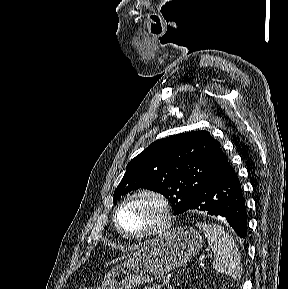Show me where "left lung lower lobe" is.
Listing matches in <instances>:
<instances>
[{
	"label": "left lung lower lobe",
	"instance_id": "1",
	"mask_svg": "<svg viewBox=\"0 0 288 289\" xmlns=\"http://www.w3.org/2000/svg\"><path fill=\"white\" fill-rule=\"evenodd\" d=\"M193 209L224 217L239 237H246L245 198L240 181L228 161L197 194L186 211Z\"/></svg>",
	"mask_w": 288,
	"mask_h": 289
}]
</instances>
